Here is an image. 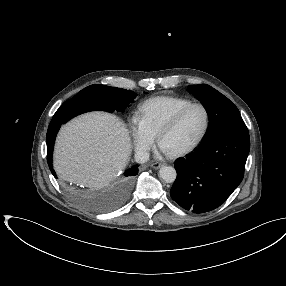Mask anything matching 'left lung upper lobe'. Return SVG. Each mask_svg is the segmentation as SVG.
<instances>
[{"instance_id":"left-lung-upper-lobe-1","label":"left lung upper lobe","mask_w":286,"mask_h":286,"mask_svg":"<svg viewBox=\"0 0 286 286\" xmlns=\"http://www.w3.org/2000/svg\"><path fill=\"white\" fill-rule=\"evenodd\" d=\"M188 91L201 101L209 117L204 140L228 132H248L237 107L223 94L206 84L189 85Z\"/></svg>"}]
</instances>
